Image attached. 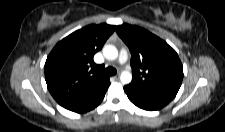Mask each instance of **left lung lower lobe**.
<instances>
[{"mask_svg":"<svg viewBox=\"0 0 225 132\" xmlns=\"http://www.w3.org/2000/svg\"><path fill=\"white\" fill-rule=\"evenodd\" d=\"M129 100L137 107L149 111L159 110L166 106L173 98L161 94H147L133 90L128 85L124 87Z\"/></svg>","mask_w":225,"mask_h":132,"instance_id":"left-lung-lower-lobe-1","label":"left lung lower lobe"}]
</instances>
